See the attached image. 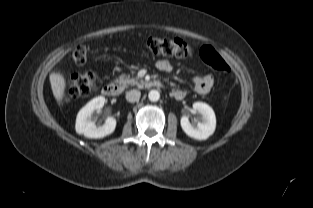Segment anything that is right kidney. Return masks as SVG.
<instances>
[{
	"label": "right kidney",
	"instance_id": "right-kidney-1",
	"mask_svg": "<svg viewBox=\"0 0 313 208\" xmlns=\"http://www.w3.org/2000/svg\"><path fill=\"white\" fill-rule=\"evenodd\" d=\"M106 100L103 96H98L88 102L77 114L75 129L78 134L88 138H103L112 134L116 128V119L108 117L103 126L97 127L92 120L95 110L103 108Z\"/></svg>",
	"mask_w": 313,
	"mask_h": 208
}]
</instances>
